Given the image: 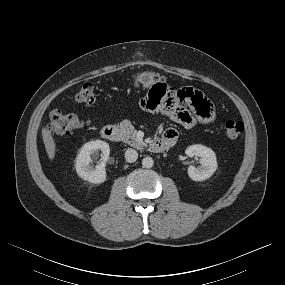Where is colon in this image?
<instances>
[{"instance_id":"colon-1","label":"colon","mask_w":285,"mask_h":285,"mask_svg":"<svg viewBox=\"0 0 285 285\" xmlns=\"http://www.w3.org/2000/svg\"><path fill=\"white\" fill-rule=\"evenodd\" d=\"M165 77L155 71H142L133 76V84L136 87L148 89L151 80ZM168 83V82H167ZM169 84V83H168ZM170 85V84H169ZM78 103L92 105L96 101L94 86L90 83L82 85L75 95ZM84 121L74 114L64 113L54 109L49 114L48 130L57 135H69L84 126ZM243 124L238 121H227L222 125V131L227 139H237L243 132Z\"/></svg>"}]
</instances>
